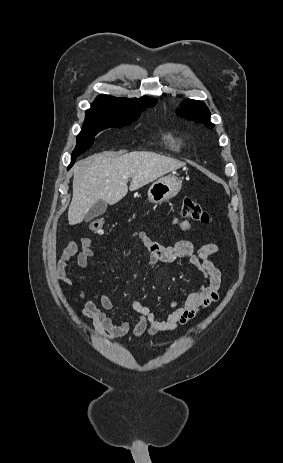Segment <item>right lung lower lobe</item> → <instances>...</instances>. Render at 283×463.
I'll use <instances>...</instances> for the list:
<instances>
[{"mask_svg": "<svg viewBox=\"0 0 283 463\" xmlns=\"http://www.w3.org/2000/svg\"><path fill=\"white\" fill-rule=\"evenodd\" d=\"M76 157H71V164L68 167V170L71 168V166L74 164Z\"/></svg>", "mask_w": 283, "mask_h": 463, "instance_id": "right-lung-lower-lobe-1", "label": "right lung lower lobe"}]
</instances>
